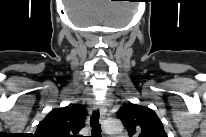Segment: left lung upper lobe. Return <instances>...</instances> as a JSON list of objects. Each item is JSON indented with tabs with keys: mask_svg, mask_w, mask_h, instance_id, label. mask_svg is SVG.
I'll return each mask as SVG.
<instances>
[{
	"mask_svg": "<svg viewBox=\"0 0 206 137\" xmlns=\"http://www.w3.org/2000/svg\"><path fill=\"white\" fill-rule=\"evenodd\" d=\"M117 116L128 130L130 137H168L157 114L148 107L124 104Z\"/></svg>",
	"mask_w": 206,
	"mask_h": 137,
	"instance_id": "left-lung-upper-lobe-1",
	"label": "left lung upper lobe"
}]
</instances>
